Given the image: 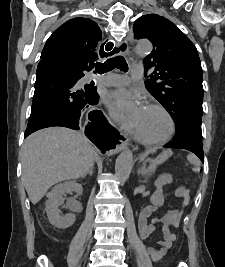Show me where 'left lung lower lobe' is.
I'll return each instance as SVG.
<instances>
[{
  "mask_svg": "<svg viewBox=\"0 0 225 267\" xmlns=\"http://www.w3.org/2000/svg\"><path fill=\"white\" fill-rule=\"evenodd\" d=\"M164 147L189 150L204 163L201 116H190L181 129L176 132L174 139Z\"/></svg>",
  "mask_w": 225,
  "mask_h": 267,
  "instance_id": "left-lung-lower-lobe-1",
  "label": "left lung lower lobe"
}]
</instances>
